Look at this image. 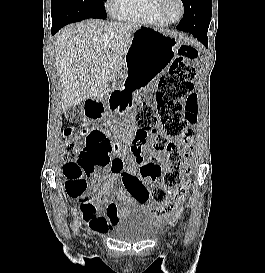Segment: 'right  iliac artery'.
Masks as SVG:
<instances>
[{
  "label": "right iliac artery",
  "mask_w": 265,
  "mask_h": 273,
  "mask_svg": "<svg viewBox=\"0 0 265 273\" xmlns=\"http://www.w3.org/2000/svg\"><path fill=\"white\" fill-rule=\"evenodd\" d=\"M77 224H78V220H75L74 225H75V231L77 232Z\"/></svg>",
  "instance_id": "right-iliac-artery-1"
}]
</instances>
